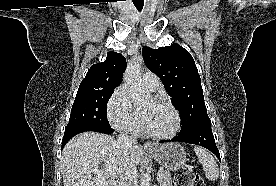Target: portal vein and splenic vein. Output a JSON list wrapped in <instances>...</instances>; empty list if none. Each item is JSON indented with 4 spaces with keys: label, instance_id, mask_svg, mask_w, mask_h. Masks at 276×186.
<instances>
[{
    "label": "portal vein and splenic vein",
    "instance_id": "18ae733b",
    "mask_svg": "<svg viewBox=\"0 0 276 186\" xmlns=\"http://www.w3.org/2000/svg\"><path fill=\"white\" fill-rule=\"evenodd\" d=\"M162 177H163V174H161V173H158V174H157V180H158V181H160V180L162 179Z\"/></svg>",
    "mask_w": 276,
    "mask_h": 186
}]
</instances>
